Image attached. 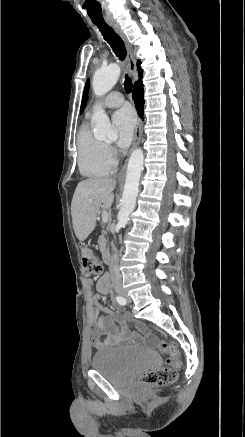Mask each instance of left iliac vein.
<instances>
[{
  "label": "left iliac vein",
  "instance_id": "left-iliac-vein-1",
  "mask_svg": "<svg viewBox=\"0 0 245 437\" xmlns=\"http://www.w3.org/2000/svg\"><path fill=\"white\" fill-rule=\"evenodd\" d=\"M123 296L127 300L128 303H131L132 300L127 294L123 293Z\"/></svg>",
  "mask_w": 245,
  "mask_h": 437
}]
</instances>
